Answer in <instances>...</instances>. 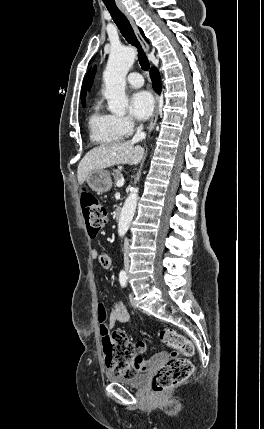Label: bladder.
Instances as JSON below:
<instances>
[{
    "instance_id": "obj_1",
    "label": "bladder",
    "mask_w": 264,
    "mask_h": 429,
    "mask_svg": "<svg viewBox=\"0 0 264 429\" xmlns=\"http://www.w3.org/2000/svg\"><path fill=\"white\" fill-rule=\"evenodd\" d=\"M149 374L146 372L135 373L132 376H120L109 374L107 377L110 381L128 386V387H139L143 385L147 379Z\"/></svg>"
}]
</instances>
